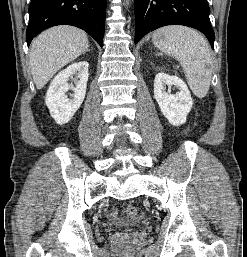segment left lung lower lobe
<instances>
[{
    "label": "left lung lower lobe",
    "instance_id": "obj_1",
    "mask_svg": "<svg viewBox=\"0 0 247 257\" xmlns=\"http://www.w3.org/2000/svg\"><path fill=\"white\" fill-rule=\"evenodd\" d=\"M207 0H135V44L147 33L166 25L201 31L214 49V31Z\"/></svg>",
    "mask_w": 247,
    "mask_h": 257
}]
</instances>
